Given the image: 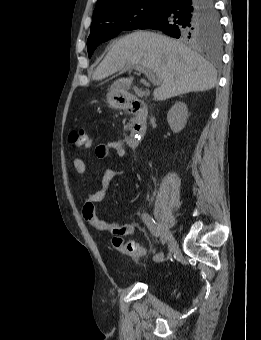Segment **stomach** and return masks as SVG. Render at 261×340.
Masks as SVG:
<instances>
[{"label":"stomach","mask_w":261,"mask_h":340,"mask_svg":"<svg viewBox=\"0 0 261 340\" xmlns=\"http://www.w3.org/2000/svg\"><path fill=\"white\" fill-rule=\"evenodd\" d=\"M128 95L124 89L110 88L107 93V102L113 109H122L126 105Z\"/></svg>","instance_id":"1"}]
</instances>
